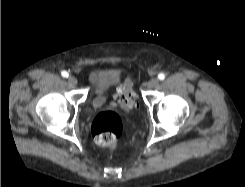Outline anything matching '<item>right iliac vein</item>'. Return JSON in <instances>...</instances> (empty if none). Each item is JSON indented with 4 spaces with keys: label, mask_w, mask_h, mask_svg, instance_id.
I'll return each instance as SVG.
<instances>
[{
    "label": "right iliac vein",
    "mask_w": 245,
    "mask_h": 187,
    "mask_svg": "<svg viewBox=\"0 0 245 187\" xmlns=\"http://www.w3.org/2000/svg\"><path fill=\"white\" fill-rule=\"evenodd\" d=\"M68 82H69V84H71L73 86L77 85V83H78L77 79L74 76H69Z\"/></svg>",
    "instance_id": "right-iliac-vein-1"
}]
</instances>
